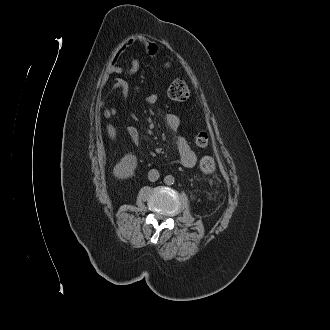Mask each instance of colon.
I'll use <instances>...</instances> for the list:
<instances>
[{
	"instance_id": "5ec220e1",
	"label": "colon",
	"mask_w": 330,
	"mask_h": 330,
	"mask_svg": "<svg viewBox=\"0 0 330 330\" xmlns=\"http://www.w3.org/2000/svg\"><path fill=\"white\" fill-rule=\"evenodd\" d=\"M152 50V47H149ZM170 96L175 99H186L188 96V88L184 81L175 82L170 88ZM113 110H106L105 115L111 116ZM209 136L205 132H200L195 137V142L198 146L205 147L208 144ZM200 168L206 174H211L215 170V161L212 157L206 156L200 161Z\"/></svg>"
}]
</instances>
